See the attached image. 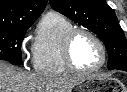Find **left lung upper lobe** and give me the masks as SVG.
I'll return each instance as SVG.
<instances>
[{"mask_svg": "<svg viewBox=\"0 0 127 92\" xmlns=\"http://www.w3.org/2000/svg\"><path fill=\"white\" fill-rule=\"evenodd\" d=\"M51 7L95 33L108 51V67H127V40L105 0H49Z\"/></svg>", "mask_w": 127, "mask_h": 92, "instance_id": "5c2ea615", "label": "left lung upper lobe"}]
</instances>
